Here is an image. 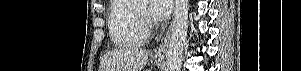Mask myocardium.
<instances>
[{
    "instance_id": "1",
    "label": "myocardium",
    "mask_w": 301,
    "mask_h": 71,
    "mask_svg": "<svg viewBox=\"0 0 301 71\" xmlns=\"http://www.w3.org/2000/svg\"><path fill=\"white\" fill-rule=\"evenodd\" d=\"M134 14L136 15L137 19L139 20L141 26L147 31L149 27V18L147 14L141 13L137 7H132Z\"/></svg>"
}]
</instances>
